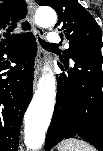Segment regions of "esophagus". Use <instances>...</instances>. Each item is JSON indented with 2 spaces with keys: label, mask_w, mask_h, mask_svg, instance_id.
Listing matches in <instances>:
<instances>
[{
  "label": "esophagus",
  "mask_w": 103,
  "mask_h": 151,
  "mask_svg": "<svg viewBox=\"0 0 103 151\" xmlns=\"http://www.w3.org/2000/svg\"><path fill=\"white\" fill-rule=\"evenodd\" d=\"M35 10H36V5H35L34 1L31 0L29 2V6H28L27 18H28V21L30 22L33 30L38 32L40 37H43L44 36L43 30L39 29L37 27L36 23H35V17H34ZM42 62H43V49L41 48L40 45H38V47H37V55H36V58H35L34 88L37 85V80H38V77L40 75Z\"/></svg>",
  "instance_id": "34e87169"
}]
</instances>
